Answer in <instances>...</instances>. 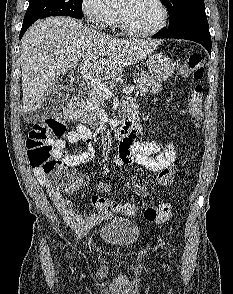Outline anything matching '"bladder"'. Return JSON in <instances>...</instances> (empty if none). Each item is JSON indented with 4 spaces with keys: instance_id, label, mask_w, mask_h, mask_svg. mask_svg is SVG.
<instances>
[{
    "instance_id": "31cf9c89",
    "label": "bladder",
    "mask_w": 233,
    "mask_h": 294,
    "mask_svg": "<svg viewBox=\"0 0 233 294\" xmlns=\"http://www.w3.org/2000/svg\"><path fill=\"white\" fill-rule=\"evenodd\" d=\"M99 237L106 244L128 248L139 240L140 228L129 218L115 217L100 227Z\"/></svg>"
}]
</instances>
